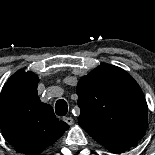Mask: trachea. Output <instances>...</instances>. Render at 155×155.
Returning a JSON list of instances; mask_svg holds the SVG:
<instances>
[{"mask_svg":"<svg viewBox=\"0 0 155 155\" xmlns=\"http://www.w3.org/2000/svg\"><path fill=\"white\" fill-rule=\"evenodd\" d=\"M68 111V105L65 100L59 99L55 105V112L58 116H65Z\"/></svg>","mask_w":155,"mask_h":155,"instance_id":"obj_1","label":"trachea"}]
</instances>
